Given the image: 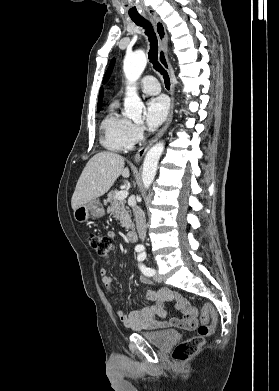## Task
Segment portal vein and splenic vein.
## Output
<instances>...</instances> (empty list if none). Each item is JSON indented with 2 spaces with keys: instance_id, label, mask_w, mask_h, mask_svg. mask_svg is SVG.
Segmentation results:
<instances>
[{
  "instance_id": "obj_1",
  "label": "portal vein and splenic vein",
  "mask_w": 279,
  "mask_h": 391,
  "mask_svg": "<svg viewBox=\"0 0 279 391\" xmlns=\"http://www.w3.org/2000/svg\"><path fill=\"white\" fill-rule=\"evenodd\" d=\"M128 196V190H121L116 193L115 198L117 200H124Z\"/></svg>"
}]
</instances>
